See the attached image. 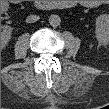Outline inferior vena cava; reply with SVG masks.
Instances as JSON below:
<instances>
[{"instance_id": "1", "label": "inferior vena cava", "mask_w": 109, "mask_h": 109, "mask_svg": "<svg viewBox=\"0 0 109 109\" xmlns=\"http://www.w3.org/2000/svg\"><path fill=\"white\" fill-rule=\"evenodd\" d=\"M38 20H39V16H37V15H30L26 18L27 23H34Z\"/></svg>"}]
</instances>
